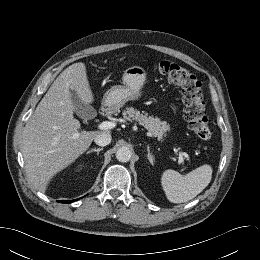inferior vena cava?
<instances>
[{
  "instance_id": "inferior-vena-cava-1",
  "label": "inferior vena cava",
  "mask_w": 260,
  "mask_h": 260,
  "mask_svg": "<svg viewBox=\"0 0 260 260\" xmlns=\"http://www.w3.org/2000/svg\"><path fill=\"white\" fill-rule=\"evenodd\" d=\"M111 135L108 132H101L96 135L94 141L99 146H106L111 142Z\"/></svg>"
}]
</instances>
